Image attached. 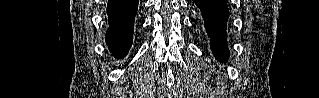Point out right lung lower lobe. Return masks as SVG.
<instances>
[{
	"mask_svg": "<svg viewBox=\"0 0 319 98\" xmlns=\"http://www.w3.org/2000/svg\"><path fill=\"white\" fill-rule=\"evenodd\" d=\"M137 8L138 0H109L107 3L106 43L116 58L125 56L132 44Z\"/></svg>",
	"mask_w": 319,
	"mask_h": 98,
	"instance_id": "1",
	"label": "right lung lower lobe"
}]
</instances>
